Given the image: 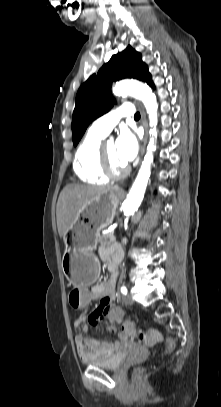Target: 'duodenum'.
Wrapping results in <instances>:
<instances>
[{
    "instance_id": "410a0bca",
    "label": "duodenum",
    "mask_w": 221,
    "mask_h": 407,
    "mask_svg": "<svg viewBox=\"0 0 221 407\" xmlns=\"http://www.w3.org/2000/svg\"><path fill=\"white\" fill-rule=\"evenodd\" d=\"M121 256H122L121 251H120L119 249H116V251H115L114 254H113L112 261H111L110 264H109V270H110L111 272H114V271H115V269H116V267H117V264H118L119 261L121 260Z\"/></svg>"
}]
</instances>
